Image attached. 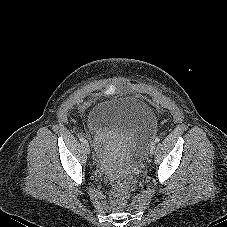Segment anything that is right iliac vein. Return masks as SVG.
Listing matches in <instances>:
<instances>
[{"label":"right iliac vein","instance_id":"63e3f726","mask_svg":"<svg viewBox=\"0 0 227 227\" xmlns=\"http://www.w3.org/2000/svg\"><path fill=\"white\" fill-rule=\"evenodd\" d=\"M82 146L85 149L86 153L89 154L90 153V148H89V144H88V142L86 140L83 142Z\"/></svg>","mask_w":227,"mask_h":227}]
</instances>
